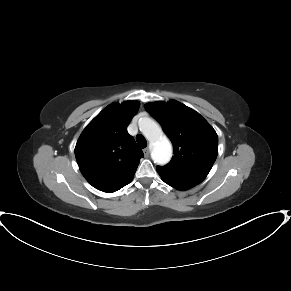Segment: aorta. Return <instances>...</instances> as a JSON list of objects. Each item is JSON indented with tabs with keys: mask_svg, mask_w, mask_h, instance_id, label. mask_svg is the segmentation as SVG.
Listing matches in <instances>:
<instances>
[{
	"mask_svg": "<svg viewBox=\"0 0 291 291\" xmlns=\"http://www.w3.org/2000/svg\"><path fill=\"white\" fill-rule=\"evenodd\" d=\"M138 125L153 146L151 156L154 162L159 165L168 163L172 156V145L159 124L149 117H143L139 119Z\"/></svg>",
	"mask_w": 291,
	"mask_h": 291,
	"instance_id": "762f6f07",
	"label": "aorta"
}]
</instances>
